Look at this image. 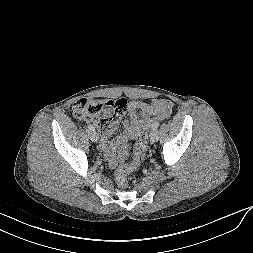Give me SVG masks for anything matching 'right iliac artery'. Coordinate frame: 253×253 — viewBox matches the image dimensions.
<instances>
[{
    "label": "right iliac artery",
    "mask_w": 253,
    "mask_h": 253,
    "mask_svg": "<svg viewBox=\"0 0 253 253\" xmlns=\"http://www.w3.org/2000/svg\"><path fill=\"white\" fill-rule=\"evenodd\" d=\"M88 129L90 130V131H94L95 130V127L93 126V125H88Z\"/></svg>",
    "instance_id": "82829eb1"
}]
</instances>
